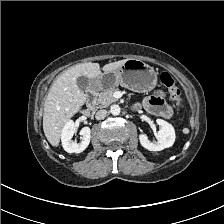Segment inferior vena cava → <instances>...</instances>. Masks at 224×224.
Returning a JSON list of instances; mask_svg holds the SVG:
<instances>
[{
	"mask_svg": "<svg viewBox=\"0 0 224 224\" xmlns=\"http://www.w3.org/2000/svg\"><path fill=\"white\" fill-rule=\"evenodd\" d=\"M106 115H107V111L105 109H101L97 111L95 118L97 120H101V119H104Z\"/></svg>",
	"mask_w": 224,
	"mask_h": 224,
	"instance_id": "obj_1",
	"label": "inferior vena cava"
}]
</instances>
